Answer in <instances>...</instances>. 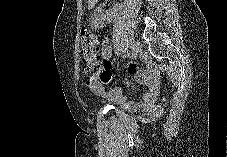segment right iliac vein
I'll return each mask as SVG.
<instances>
[{"instance_id":"obj_1","label":"right iliac vein","mask_w":227,"mask_h":157,"mask_svg":"<svg viewBox=\"0 0 227 157\" xmlns=\"http://www.w3.org/2000/svg\"><path fill=\"white\" fill-rule=\"evenodd\" d=\"M140 49V44L138 42H133L131 44V51L133 55H136Z\"/></svg>"}]
</instances>
